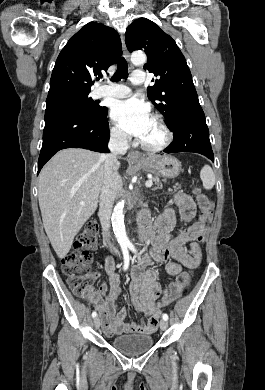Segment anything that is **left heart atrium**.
Wrapping results in <instances>:
<instances>
[{"instance_id":"1","label":"left heart atrium","mask_w":265,"mask_h":390,"mask_svg":"<svg viewBox=\"0 0 265 390\" xmlns=\"http://www.w3.org/2000/svg\"><path fill=\"white\" fill-rule=\"evenodd\" d=\"M111 115L126 134L140 140L146 136L153 122L148 105L137 98L116 102Z\"/></svg>"}]
</instances>
